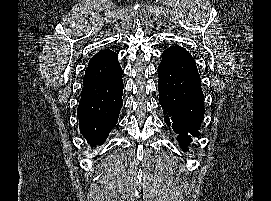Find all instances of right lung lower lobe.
I'll list each match as a JSON object with an SVG mask.
<instances>
[{
  "label": "right lung lower lobe",
  "instance_id": "obj_1",
  "mask_svg": "<svg viewBox=\"0 0 271 201\" xmlns=\"http://www.w3.org/2000/svg\"><path fill=\"white\" fill-rule=\"evenodd\" d=\"M117 57L111 50H101L85 71L77 116L80 132L91 146L105 141L123 105V71Z\"/></svg>",
  "mask_w": 271,
  "mask_h": 201
}]
</instances>
